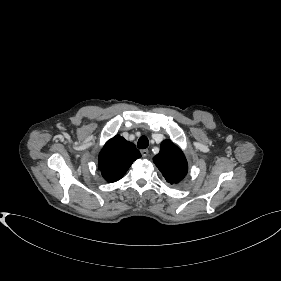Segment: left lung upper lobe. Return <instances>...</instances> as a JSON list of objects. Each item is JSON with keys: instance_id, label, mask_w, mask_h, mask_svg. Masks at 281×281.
<instances>
[{"instance_id": "left-lung-upper-lobe-1", "label": "left lung upper lobe", "mask_w": 281, "mask_h": 281, "mask_svg": "<svg viewBox=\"0 0 281 281\" xmlns=\"http://www.w3.org/2000/svg\"><path fill=\"white\" fill-rule=\"evenodd\" d=\"M154 163L170 184L179 183L187 174L188 165L182 150L170 140H164Z\"/></svg>"}]
</instances>
